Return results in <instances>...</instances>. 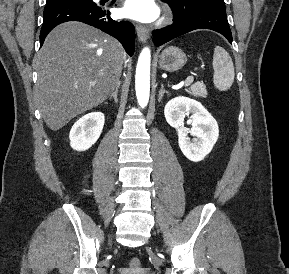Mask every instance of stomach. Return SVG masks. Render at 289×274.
Returning <instances> with one entry per match:
<instances>
[{"instance_id": "1", "label": "stomach", "mask_w": 289, "mask_h": 274, "mask_svg": "<svg viewBox=\"0 0 289 274\" xmlns=\"http://www.w3.org/2000/svg\"><path fill=\"white\" fill-rule=\"evenodd\" d=\"M187 62L185 53L178 47L170 46L164 49L159 57V66L168 72L181 69Z\"/></svg>"}]
</instances>
